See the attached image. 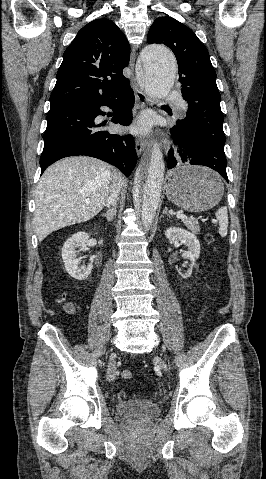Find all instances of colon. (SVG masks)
<instances>
[{
  "mask_svg": "<svg viewBox=\"0 0 266 479\" xmlns=\"http://www.w3.org/2000/svg\"><path fill=\"white\" fill-rule=\"evenodd\" d=\"M120 376L123 380H130L132 378V372L130 370H123Z\"/></svg>",
  "mask_w": 266,
  "mask_h": 479,
  "instance_id": "obj_1",
  "label": "colon"
}]
</instances>
